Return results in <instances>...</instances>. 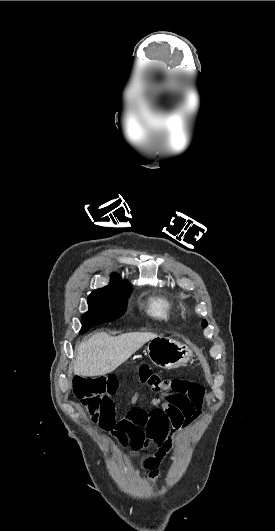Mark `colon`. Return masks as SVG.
I'll list each match as a JSON object with an SVG mask.
<instances>
[{"instance_id": "obj_1", "label": "colon", "mask_w": 275, "mask_h": 531, "mask_svg": "<svg viewBox=\"0 0 275 531\" xmlns=\"http://www.w3.org/2000/svg\"><path fill=\"white\" fill-rule=\"evenodd\" d=\"M72 386L76 390V397L81 402H87L88 409L84 413L85 420L90 424L97 423L101 418L100 396H103L105 380L100 375H93L90 378L85 374L76 376L72 381ZM163 390L169 389L168 383L162 384Z\"/></svg>"}]
</instances>
